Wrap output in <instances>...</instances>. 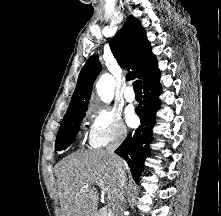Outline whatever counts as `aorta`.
I'll use <instances>...</instances> for the list:
<instances>
[{
    "label": "aorta",
    "instance_id": "aorta-1",
    "mask_svg": "<svg viewBox=\"0 0 221 216\" xmlns=\"http://www.w3.org/2000/svg\"><path fill=\"white\" fill-rule=\"evenodd\" d=\"M96 89L102 101L109 103L114 97L115 81L109 74H103L97 84Z\"/></svg>",
    "mask_w": 221,
    "mask_h": 216
}]
</instances>
